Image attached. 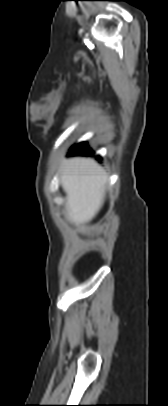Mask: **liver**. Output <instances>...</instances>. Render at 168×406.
Instances as JSON below:
<instances>
[{
  "mask_svg": "<svg viewBox=\"0 0 168 406\" xmlns=\"http://www.w3.org/2000/svg\"><path fill=\"white\" fill-rule=\"evenodd\" d=\"M60 180L67 218L76 226L90 222L105 200L108 177L102 167L90 158H69L62 164Z\"/></svg>",
  "mask_w": 168,
  "mask_h": 406,
  "instance_id": "obj_1",
  "label": "liver"
}]
</instances>
